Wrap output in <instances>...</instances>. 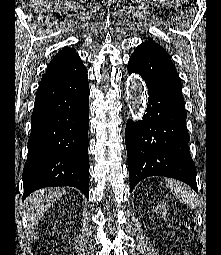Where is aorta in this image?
I'll return each mask as SVG.
<instances>
[{
    "mask_svg": "<svg viewBox=\"0 0 221 255\" xmlns=\"http://www.w3.org/2000/svg\"><path fill=\"white\" fill-rule=\"evenodd\" d=\"M128 98L135 118H140L144 104L146 103L145 88L139 81H133L129 87Z\"/></svg>",
    "mask_w": 221,
    "mask_h": 255,
    "instance_id": "1",
    "label": "aorta"
}]
</instances>
